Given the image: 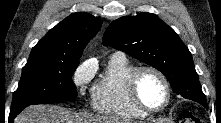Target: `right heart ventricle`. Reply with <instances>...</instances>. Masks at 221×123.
Here are the masks:
<instances>
[{
    "label": "right heart ventricle",
    "mask_w": 221,
    "mask_h": 123,
    "mask_svg": "<svg viewBox=\"0 0 221 123\" xmlns=\"http://www.w3.org/2000/svg\"><path fill=\"white\" fill-rule=\"evenodd\" d=\"M124 56H111L104 75L92 91V107L98 114L118 120L142 119L147 113L131 101L127 80L136 69Z\"/></svg>",
    "instance_id": "1"
}]
</instances>
